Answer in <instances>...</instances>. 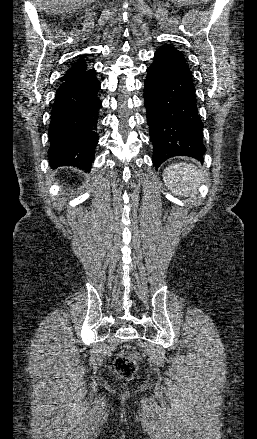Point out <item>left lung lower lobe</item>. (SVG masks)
Masks as SVG:
<instances>
[{
	"instance_id": "1",
	"label": "left lung lower lobe",
	"mask_w": 257,
	"mask_h": 439,
	"mask_svg": "<svg viewBox=\"0 0 257 439\" xmlns=\"http://www.w3.org/2000/svg\"><path fill=\"white\" fill-rule=\"evenodd\" d=\"M152 161L158 168L174 156L203 160V123L198 115L192 74L183 54L160 47L147 69L144 89Z\"/></svg>"
}]
</instances>
